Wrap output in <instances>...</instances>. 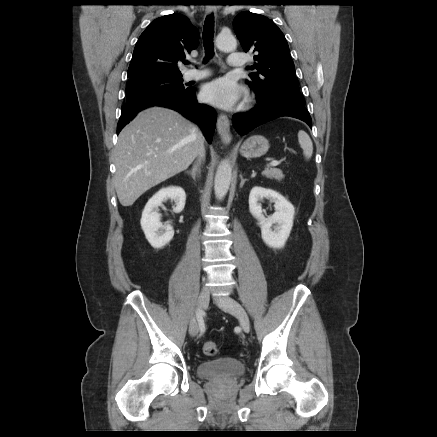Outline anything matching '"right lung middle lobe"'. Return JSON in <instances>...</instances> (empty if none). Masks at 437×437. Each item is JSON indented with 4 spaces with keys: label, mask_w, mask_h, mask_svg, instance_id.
Wrapping results in <instances>:
<instances>
[{
    "label": "right lung middle lobe",
    "mask_w": 437,
    "mask_h": 437,
    "mask_svg": "<svg viewBox=\"0 0 437 437\" xmlns=\"http://www.w3.org/2000/svg\"><path fill=\"white\" fill-rule=\"evenodd\" d=\"M182 75L147 74L130 76L126 87V100L160 92L184 91Z\"/></svg>",
    "instance_id": "obj_1"
}]
</instances>
